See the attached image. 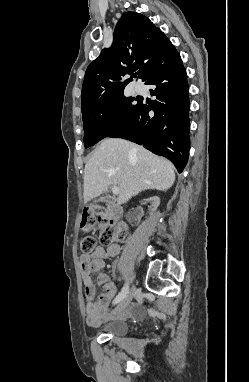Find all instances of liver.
I'll use <instances>...</instances> for the list:
<instances>
[{"label":"liver","mask_w":249,"mask_h":382,"mask_svg":"<svg viewBox=\"0 0 249 382\" xmlns=\"http://www.w3.org/2000/svg\"><path fill=\"white\" fill-rule=\"evenodd\" d=\"M175 181L173 164L130 141L104 139L84 170V202L107 193L109 186L120 190L124 204L145 189L167 190Z\"/></svg>","instance_id":"6515ba94"}]
</instances>
